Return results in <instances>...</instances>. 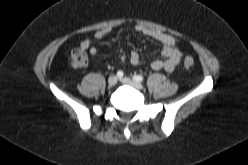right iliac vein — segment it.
Segmentation results:
<instances>
[{
    "label": "right iliac vein",
    "instance_id": "right-iliac-vein-1",
    "mask_svg": "<svg viewBox=\"0 0 248 165\" xmlns=\"http://www.w3.org/2000/svg\"><path fill=\"white\" fill-rule=\"evenodd\" d=\"M117 77L115 75H111L109 78H108V84L109 86H115L117 84Z\"/></svg>",
    "mask_w": 248,
    "mask_h": 165
}]
</instances>
